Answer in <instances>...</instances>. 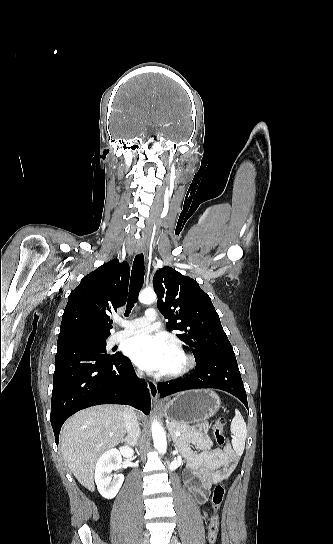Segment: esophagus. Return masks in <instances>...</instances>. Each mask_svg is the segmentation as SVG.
Here are the masks:
<instances>
[{"label":"esophagus","mask_w":333,"mask_h":544,"mask_svg":"<svg viewBox=\"0 0 333 544\" xmlns=\"http://www.w3.org/2000/svg\"><path fill=\"white\" fill-rule=\"evenodd\" d=\"M136 251L139 254L143 253L144 255H146V246H145V240L144 239H141L139 241V243L137 244ZM147 385H148V390H149L152 401L154 403H159L160 399H159V392H158V387H157L156 382H154L152 380H149L147 382Z\"/></svg>","instance_id":"obj_1"}]
</instances>
